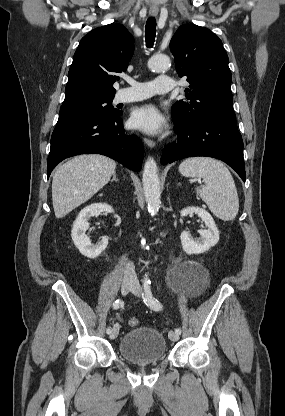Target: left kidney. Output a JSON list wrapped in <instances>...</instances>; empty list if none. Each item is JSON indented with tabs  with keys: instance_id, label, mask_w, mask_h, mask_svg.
Masks as SVG:
<instances>
[{
	"instance_id": "obj_1",
	"label": "left kidney",
	"mask_w": 285,
	"mask_h": 416,
	"mask_svg": "<svg viewBox=\"0 0 285 416\" xmlns=\"http://www.w3.org/2000/svg\"><path fill=\"white\" fill-rule=\"evenodd\" d=\"M181 216H188V214H198L202 222H205L207 230H199L201 238L193 240L190 232H182L180 236L183 250L186 254H203L208 252L212 246L219 242V232L217 226L210 214L203 210V208H184L180 212Z\"/></svg>"
}]
</instances>
